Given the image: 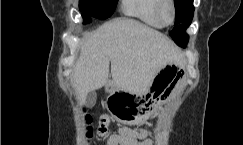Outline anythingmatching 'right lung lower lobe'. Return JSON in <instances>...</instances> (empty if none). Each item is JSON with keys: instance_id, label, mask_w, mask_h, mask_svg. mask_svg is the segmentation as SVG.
<instances>
[{"instance_id": "1", "label": "right lung lower lobe", "mask_w": 243, "mask_h": 145, "mask_svg": "<svg viewBox=\"0 0 243 145\" xmlns=\"http://www.w3.org/2000/svg\"><path fill=\"white\" fill-rule=\"evenodd\" d=\"M83 18H84V22H89L90 21V18H91V16L90 15H88V14H85V13H83Z\"/></svg>"}]
</instances>
